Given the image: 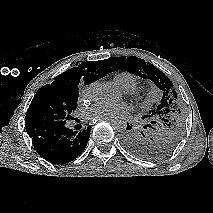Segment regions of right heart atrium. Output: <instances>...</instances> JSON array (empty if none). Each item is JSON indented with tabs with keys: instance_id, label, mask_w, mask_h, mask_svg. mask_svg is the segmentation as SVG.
I'll use <instances>...</instances> for the list:
<instances>
[{
	"instance_id": "1",
	"label": "right heart atrium",
	"mask_w": 213,
	"mask_h": 213,
	"mask_svg": "<svg viewBox=\"0 0 213 213\" xmlns=\"http://www.w3.org/2000/svg\"><path fill=\"white\" fill-rule=\"evenodd\" d=\"M95 84L91 83L86 86H83L80 90L79 97L83 100H89L92 98Z\"/></svg>"
}]
</instances>
